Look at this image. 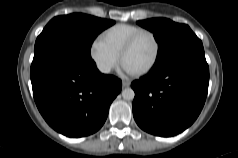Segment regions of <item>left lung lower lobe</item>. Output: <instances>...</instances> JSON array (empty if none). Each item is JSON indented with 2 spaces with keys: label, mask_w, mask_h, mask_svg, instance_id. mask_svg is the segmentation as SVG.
<instances>
[{
  "label": "left lung lower lobe",
  "mask_w": 238,
  "mask_h": 158,
  "mask_svg": "<svg viewBox=\"0 0 238 158\" xmlns=\"http://www.w3.org/2000/svg\"><path fill=\"white\" fill-rule=\"evenodd\" d=\"M209 68L203 45L187 48L155 65L132 82L133 115L153 135L170 137L188 128L200 114L208 91Z\"/></svg>",
  "instance_id": "obj_1"
}]
</instances>
